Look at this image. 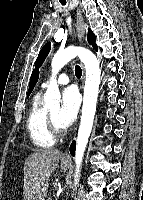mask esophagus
Listing matches in <instances>:
<instances>
[{
	"label": "esophagus",
	"mask_w": 143,
	"mask_h": 200,
	"mask_svg": "<svg viewBox=\"0 0 143 200\" xmlns=\"http://www.w3.org/2000/svg\"><path fill=\"white\" fill-rule=\"evenodd\" d=\"M76 30H77V36L80 42H83L86 38L85 35V22H84V18L82 15V11L79 7H77L76 9ZM82 85L84 82V78H85V74H84V67H82ZM62 159L64 161H69L70 160V155L68 152V149L64 151V153L62 154Z\"/></svg>",
	"instance_id": "1"
}]
</instances>
